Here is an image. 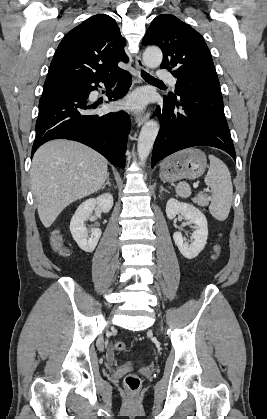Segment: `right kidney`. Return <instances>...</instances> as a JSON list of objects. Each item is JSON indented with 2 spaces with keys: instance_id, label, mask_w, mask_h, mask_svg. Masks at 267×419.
Instances as JSON below:
<instances>
[{
  "instance_id": "right-kidney-1",
  "label": "right kidney",
  "mask_w": 267,
  "mask_h": 419,
  "mask_svg": "<svg viewBox=\"0 0 267 419\" xmlns=\"http://www.w3.org/2000/svg\"><path fill=\"white\" fill-rule=\"evenodd\" d=\"M96 206L103 213H108L113 206V196L110 193H104L97 198H90L84 201L77 208L70 222L72 237L85 252L94 251L102 234L100 229L94 228L91 230L90 237H88V230L85 226V221L89 218Z\"/></svg>"
}]
</instances>
